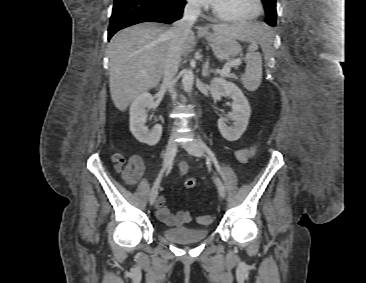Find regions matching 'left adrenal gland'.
I'll list each match as a JSON object with an SVG mask.
<instances>
[{
	"instance_id": "a2214340",
	"label": "left adrenal gland",
	"mask_w": 366,
	"mask_h": 283,
	"mask_svg": "<svg viewBox=\"0 0 366 283\" xmlns=\"http://www.w3.org/2000/svg\"><path fill=\"white\" fill-rule=\"evenodd\" d=\"M211 73L215 74V71L212 69H209V61H206V63L203 66V69H202V76L209 77V75Z\"/></svg>"
}]
</instances>
